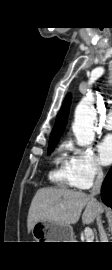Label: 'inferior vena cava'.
Listing matches in <instances>:
<instances>
[{
    "instance_id": "1",
    "label": "inferior vena cava",
    "mask_w": 112,
    "mask_h": 270,
    "mask_svg": "<svg viewBox=\"0 0 112 270\" xmlns=\"http://www.w3.org/2000/svg\"><path fill=\"white\" fill-rule=\"evenodd\" d=\"M96 173H97V177H96L94 186H93V188L91 190V194H90L92 197H94L95 195L100 193L101 185H102L103 178H104V174H103L102 168L100 166H97ZM96 219H97L100 240H101V242H107V236H106V233H105L103 225H102V220H101L100 214L97 216Z\"/></svg>"
}]
</instances>
